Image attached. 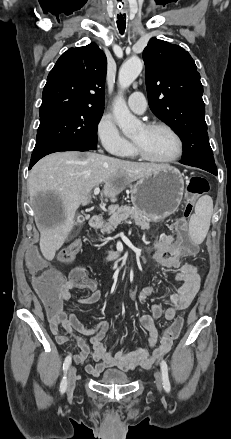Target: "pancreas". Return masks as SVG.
<instances>
[{
  "mask_svg": "<svg viewBox=\"0 0 231 439\" xmlns=\"http://www.w3.org/2000/svg\"><path fill=\"white\" fill-rule=\"evenodd\" d=\"M128 219L133 220L135 225L141 227L142 229H148L151 221L148 216L142 214L133 207L125 205L115 208L111 211V215L101 229V232L110 234L117 228L119 224Z\"/></svg>",
  "mask_w": 231,
  "mask_h": 439,
  "instance_id": "pancreas-1",
  "label": "pancreas"
}]
</instances>
